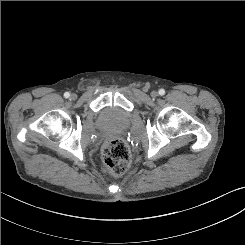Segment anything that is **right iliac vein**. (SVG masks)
Segmentation results:
<instances>
[{"mask_svg": "<svg viewBox=\"0 0 245 245\" xmlns=\"http://www.w3.org/2000/svg\"><path fill=\"white\" fill-rule=\"evenodd\" d=\"M70 98H71L72 100H75V99L77 98V95L73 93V94H71Z\"/></svg>", "mask_w": 245, "mask_h": 245, "instance_id": "obj_1", "label": "right iliac vein"}]
</instances>
